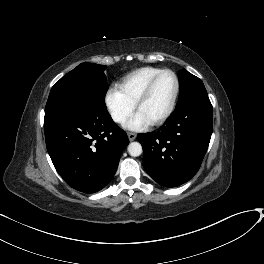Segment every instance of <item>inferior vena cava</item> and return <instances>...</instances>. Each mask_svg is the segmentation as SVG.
<instances>
[{
  "mask_svg": "<svg viewBox=\"0 0 264 264\" xmlns=\"http://www.w3.org/2000/svg\"><path fill=\"white\" fill-rule=\"evenodd\" d=\"M114 120L117 122H124L125 118L122 115H114Z\"/></svg>",
  "mask_w": 264,
  "mask_h": 264,
  "instance_id": "inferior-vena-cava-1",
  "label": "inferior vena cava"
}]
</instances>
